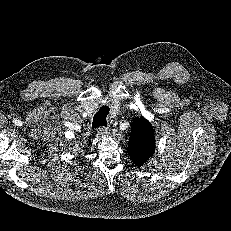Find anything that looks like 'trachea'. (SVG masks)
<instances>
[{"label": "trachea", "instance_id": "1", "mask_svg": "<svg viewBox=\"0 0 231 231\" xmlns=\"http://www.w3.org/2000/svg\"><path fill=\"white\" fill-rule=\"evenodd\" d=\"M109 107L108 106H102L99 111L94 115L92 127H105L107 125L106 117L109 113Z\"/></svg>", "mask_w": 231, "mask_h": 231}]
</instances>
